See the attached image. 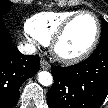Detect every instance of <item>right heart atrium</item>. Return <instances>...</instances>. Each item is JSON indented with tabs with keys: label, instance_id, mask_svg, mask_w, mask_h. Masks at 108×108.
<instances>
[{
	"label": "right heart atrium",
	"instance_id": "d8ad5b80",
	"mask_svg": "<svg viewBox=\"0 0 108 108\" xmlns=\"http://www.w3.org/2000/svg\"><path fill=\"white\" fill-rule=\"evenodd\" d=\"M28 34H29V33H28ZM28 39L31 40V41H33L32 37H30V35H28Z\"/></svg>",
	"mask_w": 108,
	"mask_h": 108
}]
</instances>
